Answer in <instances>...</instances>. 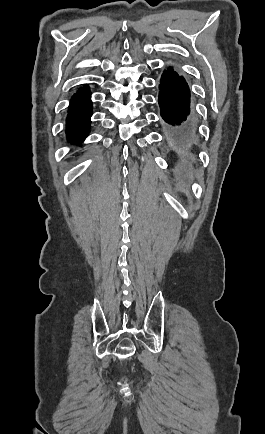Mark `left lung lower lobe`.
<instances>
[{"mask_svg": "<svg viewBox=\"0 0 265 434\" xmlns=\"http://www.w3.org/2000/svg\"><path fill=\"white\" fill-rule=\"evenodd\" d=\"M158 102L166 147L179 153L193 152L199 143V132L190 107V90L185 78L173 67L165 69L161 76Z\"/></svg>", "mask_w": 265, "mask_h": 434, "instance_id": "obj_1", "label": "left lung lower lobe"}]
</instances>
